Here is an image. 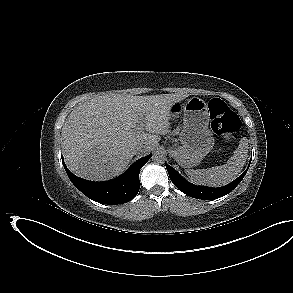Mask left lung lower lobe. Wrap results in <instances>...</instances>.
<instances>
[{
	"label": "left lung lower lobe",
	"mask_w": 293,
	"mask_h": 293,
	"mask_svg": "<svg viewBox=\"0 0 293 293\" xmlns=\"http://www.w3.org/2000/svg\"><path fill=\"white\" fill-rule=\"evenodd\" d=\"M166 168L171 181L180 191L187 194L188 196L202 200H213L230 193L241 182L248 170L247 168V170L243 174H241L236 180L224 187L211 188L191 184L182 176H180V174L168 164H166Z\"/></svg>",
	"instance_id": "left-lung-lower-lobe-1"
}]
</instances>
